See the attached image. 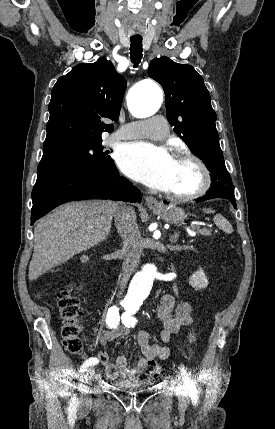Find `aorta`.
<instances>
[{
  "label": "aorta",
  "instance_id": "762f6f07",
  "mask_svg": "<svg viewBox=\"0 0 275 429\" xmlns=\"http://www.w3.org/2000/svg\"><path fill=\"white\" fill-rule=\"evenodd\" d=\"M163 101V93L154 82H142L132 88L128 95V107L130 112L138 118H145L155 114ZM156 275L154 264L145 265L141 271L133 277L127 301L131 304H139L145 299L152 287Z\"/></svg>",
  "mask_w": 275,
  "mask_h": 429
}]
</instances>
